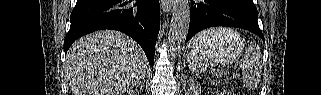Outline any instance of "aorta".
<instances>
[{
	"label": "aorta",
	"instance_id": "762f6f07",
	"mask_svg": "<svg viewBox=\"0 0 321 95\" xmlns=\"http://www.w3.org/2000/svg\"><path fill=\"white\" fill-rule=\"evenodd\" d=\"M190 24V1L174 0L168 35L169 52L175 57L182 50Z\"/></svg>",
	"mask_w": 321,
	"mask_h": 95
}]
</instances>
